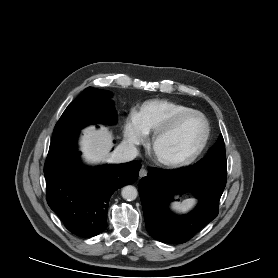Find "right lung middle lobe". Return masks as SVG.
Returning a JSON list of instances; mask_svg holds the SVG:
<instances>
[{"label": "right lung middle lobe", "mask_w": 278, "mask_h": 278, "mask_svg": "<svg viewBox=\"0 0 278 278\" xmlns=\"http://www.w3.org/2000/svg\"><path fill=\"white\" fill-rule=\"evenodd\" d=\"M111 93L92 87L86 88L66 108L57 122L52 141L79 132L89 124H111L117 121V113Z\"/></svg>", "instance_id": "right-lung-middle-lobe-1"}]
</instances>
